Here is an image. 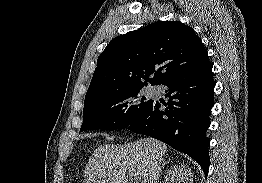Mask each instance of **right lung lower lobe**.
Returning <instances> with one entry per match:
<instances>
[{
    "instance_id": "right-lung-lower-lobe-1",
    "label": "right lung lower lobe",
    "mask_w": 262,
    "mask_h": 183,
    "mask_svg": "<svg viewBox=\"0 0 262 183\" xmlns=\"http://www.w3.org/2000/svg\"><path fill=\"white\" fill-rule=\"evenodd\" d=\"M164 86L167 102L153 100L127 127L129 130L161 140L192 157L205 175L209 169V112L214 105L212 63L173 75Z\"/></svg>"
}]
</instances>
